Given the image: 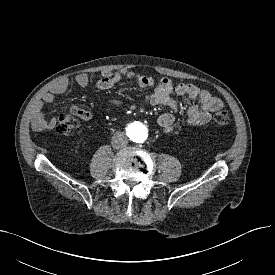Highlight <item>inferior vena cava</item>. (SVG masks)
Returning <instances> with one entry per match:
<instances>
[{
    "mask_svg": "<svg viewBox=\"0 0 275 275\" xmlns=\"http://www.w3.org/2000/svg\"><path fill=\"white\" fill-rule=\"evenodd\" d=\"M128 143V138L123 132H116L112 137V146L115 149L124 148Z\"/></svg>",
    "mask_w": 275,
    "mask_h": 275,
    "instance_id": "1",
    "label": "inferior vena cava"
}]
</instances>
